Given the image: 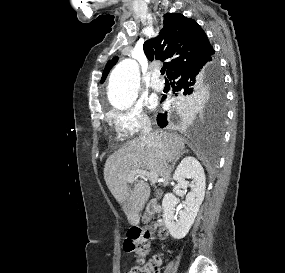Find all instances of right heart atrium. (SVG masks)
<instances>
[{
    "mask_svg": "<svg viewBox=\"0 0 285 273\" xmlns=\"http://www.w3.org/2000/svg\"><path fill=\"white\" fill-rule=\"evenodd\" d=\"M111 118L117 133L123 138L132 137L149 126V118L140 104H134L126 109H115Z\"/></svg>",
    "mask_w": 285,
    "mask_h": 273,
    "instance_id": "obj_1",
    "label": "right heart atrium"
}]
</instances>
